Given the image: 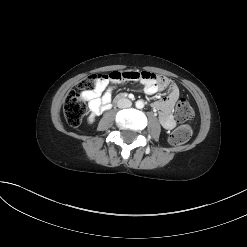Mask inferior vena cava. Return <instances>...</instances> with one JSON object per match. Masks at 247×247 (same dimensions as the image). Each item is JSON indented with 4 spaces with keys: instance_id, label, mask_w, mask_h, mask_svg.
<instances>
[{
    "instance_id": "602c4592",
    "label": "inferior vena cava",
    "mask_w": 247,
    "mask_h": 247,
    "mask_svg": "<svg viewBox=\"0 0 247 247\" xmlns=\"http://www.w3.org/2000/svg\"><path fill=\"white\" fill-rule=\"evenodd\" d=\"M131 105H132V102L127 98H121L117 103V106L119 108H129L131 107Z\"/></svg>"
}]
</instances>
